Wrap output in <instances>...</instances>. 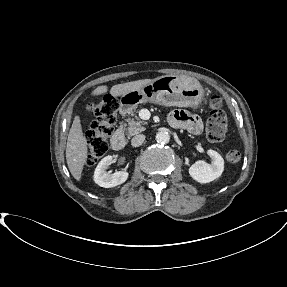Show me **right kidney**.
Wrapping results in <instances>:
<instances>
[{"label":"right kidney","instance_id":"obj_1","mask_svg":"<svg viewBox=\"0 0 287 287\" xmlns=\"http://www.w3.org/2000/svg\"><path fill=\"white\" fill-rule=\"evenodd\" d=\"M112 156L104 157L94 171V182L101 187L111 188L124 183L129 174L126 171H117L113 174L107 172V168L113 163Z\"/></svg>","mask_w":287,"mask_h":287}]
</instances>
